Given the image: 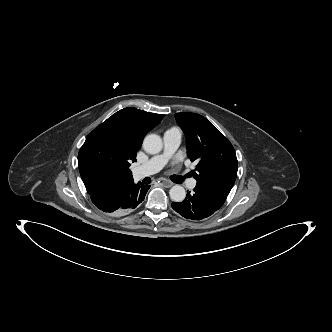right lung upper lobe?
<instances>
[{
    "instance_id": "1",
    "label": "right lung upper lobe",
    "mask_w": 332,
    "mask_h": 332,
    "mask_svg": "<svg viewBox=\"0 0 332 332\" xmlns=\"http://www.w3.org/2000/svg\"><path fill=\"white\" fill-rule=\"evenodd\" d=\"M163 117V114L149 113L136 108H125L116 112L107 120H118L123 124L124 129L127 131L129 153L134 161H136V153L141 148L144 136L148 131L158 125ZM79 170L83 183L89 194L103 188L116 187L120 184L133 181L131 171L125 173L119 180L104 181L94 178L81 168H79Z\"/></svg>"
}]
</instances>
